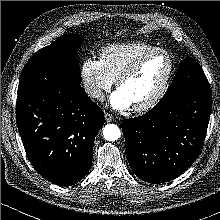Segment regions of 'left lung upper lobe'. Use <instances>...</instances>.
Listing matches in <instances>:
<instances>
[{
    "label": "left lung upper lobe",
    "mask_w": 220,
    "mask_h": 220,
    "mask_svg": "<svg viewBox=\"0 0 220 220\" xmlns=\"http://www.w3.org/2000/svg\"><path fill=\"white\" fill-rule=\"evenodd\" d=\"M209 88L208 80L198 63L191 57L180 62L175 78L160 101L177 98L193 90Z\"/></svg>",
    "instance_id": "left-lung-upper-lobe-1"
}]
</instances>
